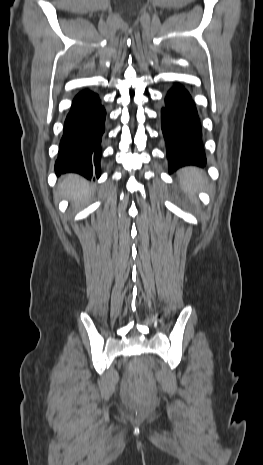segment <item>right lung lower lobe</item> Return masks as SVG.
<instances>
[{"instance_id": "98d812e1", "label": "right lung lower lobe", "mask_w": 263, "mask_h": 465, "mask_svg": "<svg viewBox=\"0 0 263 465\" xmlns=\"http://www.w3.org/2000/svg\"><path fill=\"white\" fill-rule=\"evenodd\" d=\"M106 111L97 94L84 90L73 100L64 123L55 171L100 176L101 140Z\"/></svg>"}]
</instances>
